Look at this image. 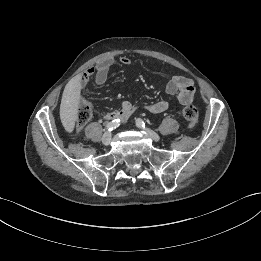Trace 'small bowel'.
<instances>
[{
    "instance_id": "c3829d8e",
    "label": "small bowel",
    "mask_w": 261,
    "mask_h": 261,
    "mask_svg": "<svg viewBox=\"0 0 261 261\" xmlns=\"http://www.w3.org/2000/svg\"><path fill=\"white\" fill-rule=\"evenodd\" d=\"M119 61L124 66H129L131 64L130 59L126 56L120 57ZM113 62V59H106L98 63L95 67H91L86 70L79 78L77 89H81L91 78H94L96 84L98 85L105 83L108 78L109 69ZM165 89L168 94L176 95L178 102L181 105H188L192 103L196 92L193 81L190 78L179 75L172 76L168 80ZM143 108L152 114H160L169 108V102L166 100H159L145 105ZM136 109L137 107L131 102L124 101L118 109L104 114L103 119L107 121L119 119L120 122L124 123Z\"/></svg>"
}]
</instances>
